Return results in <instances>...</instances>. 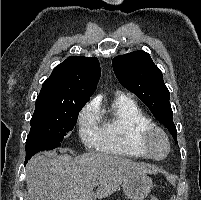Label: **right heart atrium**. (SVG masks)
Instances as JSON below:
<instances>
[{
	"instance_id": "obj_1",
	"label": "right heart atrium",
	"mask_w": 201,
	"mask_h": 200,
	"mask_svg": "<svg viewBox=\"0 0 201 200\" xmlns=\"http://www.w3.org/2000/svg\"><path fill=\"white\" fill-rule=\"evenodd\" d=\"M98 111L94 105L83 108L78 118L79 135L88 147H96L99 139Z\"/></svg>"
}]
</instances>
